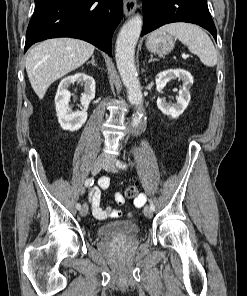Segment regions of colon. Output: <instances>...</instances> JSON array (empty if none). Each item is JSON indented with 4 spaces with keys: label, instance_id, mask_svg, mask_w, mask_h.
Returning a JSON list of instances; mask_svg holds the SVG:
<instances>
[{
    "label": "colon",
    "instance_id": "obj_1",
    "mask_svg": "<svg viewBox=\"0 0 247 296\" xmlns=\"http://www.w3.org/2000/svg\"><path fill=\"white\" fill-rule=\"evenodd\" d=\"M137 192H138L137 184H132L126 188L124 192V198L133 199L134 197H136Z\"/></svg>",
    "mask_w": 247,
    "mask_h": 296
}]
</instances>
